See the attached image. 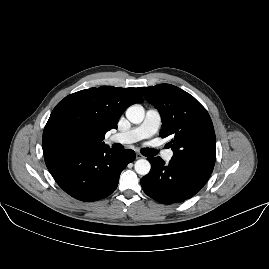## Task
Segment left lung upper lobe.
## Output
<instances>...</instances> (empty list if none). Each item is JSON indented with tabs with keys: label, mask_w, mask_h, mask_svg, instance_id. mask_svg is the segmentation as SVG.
Here are the masks:
<instances>
[{
	"label": "left lung upper lobe",
	"mask_w": 269,
	"mask_h": 269,
	"mask_svg": "<svg viewBox=\"0 0 269 269\" xmlns=\"http://www.w3.org/2000/svg\"><path fill=\"white\" fill-rule=\"evenodd\" d=\"M145 99L160 112L162 138L171 135L172 160L212 172L216 138L206 109L190 94L170 84L140 87Z\"/></svg>",
	"instance_id": "left-lung-upper-lobe-1"
}]
</instances>
